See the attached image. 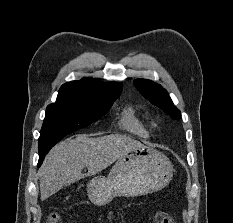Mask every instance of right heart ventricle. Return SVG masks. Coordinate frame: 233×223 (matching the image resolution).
I'll return each mask as SVG.
<instances>
[{"instance_id":"obj_1","label":"right heart ventricle","mask_w":233,"mask_h":223,"mask_svg":"<svg viewBox=\"0 0 233 223\" xmlns=\"http://www.w3.org/2000/svg\"><path fill=\"white\" fill-rule=\"evenodd\" d=\"M117 124L120 129L140 138H148L151 133L147 122L139 116L132 106H127L123 109Z\"/></svg>"}]
</instances>
